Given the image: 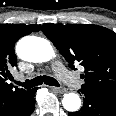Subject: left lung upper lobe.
Wrapping results in <instances>:
<instances>
[{
  "mask_svg": "<svg viewBox=\"0 0 116 116\" xmlns=\"http://www.w3.org/2000/svg\"><path fill=\"white\" fill-rule=\"evenodd\" d=\"M46 37L74 69L84 67L82 89L116 93V33L90 24H52L41 27Z\"/></svg>",
  "mask_w": 116,
  "mask_h": 116,
  "instance_id": "5c2ea615",
  "label": "left lung upper lobe"
}]
</instances>
